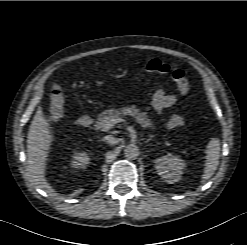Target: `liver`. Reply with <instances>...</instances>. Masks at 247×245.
Here are the masks:
<instances>
[{"instance_id": "obj_1", "label": "liver", "mask_w": 247, "mask_h": 245, "mask_svg": "<svg viewBox=\"0 0 247 245\" xmlns=\"http://www.w3.org/2000/svg\"><path fill=\"white\" fill-rule=\"evenodd\" d=\"M53 141L52 132L41 108H38L27 135V170L31 181L41 189L54 194L45 177L49 151Z\"/></svg>"}]
</instances>
